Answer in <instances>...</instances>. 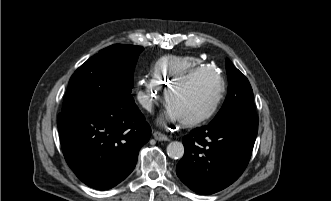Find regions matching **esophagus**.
Masks as SVG:
<instances>
[{
  "label": "esophagus",
  "mask_w": 331,
  "mask_h": 201,
  "mask_svg": "<svg viewBox=\"0 0 331 201\" xmlns=\"http://www.w3.org/2000/svg\"><path fill=\"white\" fill-rule=\"evenodd\" d=\"M153 137L158 141H167L168 137L165 134H162L160 132H154Z\"/></svg>",
  "instance_id": "esophagus-1"
}]
</instances>
